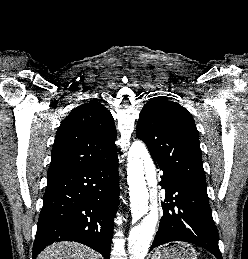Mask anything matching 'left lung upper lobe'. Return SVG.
I'll list each match as a JSON object with an SVG mask.
<instances>
[{
	"label": "left lung upper lobe",
	"mask_w": 248,
	"mask_h": 259,
	"mask_svg": "<svg viewBox=\"0 0 248 259\" xmlns=\"http://www.w3.org/2000/svg\"><path fill=\"white\" fill-rule=\"evenodd\" d=\"M136 135L145 142L154 163L188 186L206 191L198 131L184 107L164 97L150 99L139 115Z\"/></svg>",
	"instance_id": "left-lung-upper-lobe-1"
}]
</instances>
